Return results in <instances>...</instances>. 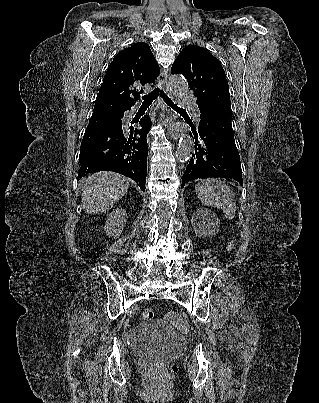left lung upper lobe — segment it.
I'll use <instances>...</instances> for the list:
<instances>
[{"mask_svg":"<svg viewBox=\"0 0 319 403\" xmlns=\"http://www.w3.org/2000/svg\"><path fill=\"white\" fill-rule=\"evenodd\" d=\"M172 73H182L195 94L199 108L230 107V93L221 63L205 48L185 47L172 65Z\"/></svg>","mask_w":319,"mask_h":403,"instance_id":"1","label":"left lung upper lobe"}]
</instances>
